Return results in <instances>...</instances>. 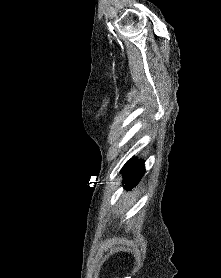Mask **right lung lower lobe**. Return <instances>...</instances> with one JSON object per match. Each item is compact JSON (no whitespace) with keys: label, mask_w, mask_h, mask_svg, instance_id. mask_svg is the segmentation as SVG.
<instances>
[{"label":"right lung lower lobe","mask_w":221,"mask_h":278,"mask_svg":"<svg viewBox=\"0 0 221 278\" xmlns=\"http://www.w3.org/2000/svg\"><path fill=\"white\" fill-rule=\"evenodd\" d=\"M121 172L124 174L123 183L126 185V189L130 190L138 184L144 175V161L131 159L124 165Z\"/></svg>","instance_id":"obj_1"}]
</instances>
